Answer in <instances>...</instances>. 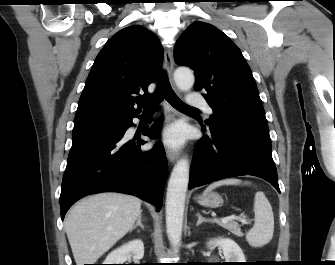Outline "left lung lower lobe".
<instances>
[{
	"label": "left lung lower lobe",
	"instance_id": "1",
	"mask_svg": "<svg viewBox=\"0 0 335 265\" xmlns=\"http://www.w3.org/2000/svg\"><path fill=\"white\" fill-rule=\"evenodd\" d=\"M196 144L189 188L242 175L271 183L280 193L268 137L240 128L216 124Z\"/></svg>",
	"mask_w": 335,
	"mask_h": 265
}]
</instances>
